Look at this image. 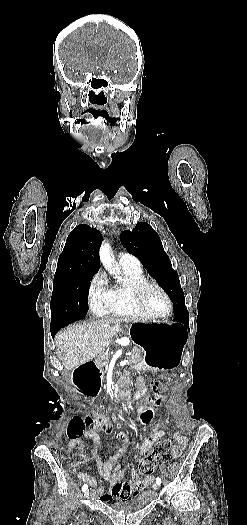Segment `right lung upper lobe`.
<instances>
[{
	"mask_svg": "<svg viewBox=\"0 0 247 525\" xmlns=\"http://www.w3.org/2000/svg\"><path fill=\"white\" fill-rule=\"evenodd\" d=\"M100 232L86 224L78 225L68 235L59 256L56 271H85L96 273L99 267Z\"/></svg>",
	"mask_w": 247,
	"mask_h": 525,
	"instance_id": "obj_1",
	"label": "right lung upper lobe"
}]
</instances>
